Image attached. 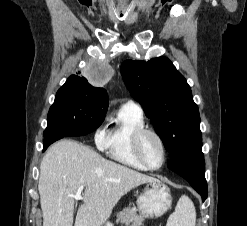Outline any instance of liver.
Returning <instances> with one entry per match:
<instances>
[{"mask_svg": "<svg viewBox=\"0 0 247 226\" xmlns=\"http://www.w3.org/2000/svg\"><path fill=\"white\" fill-rule=\"evenodd\" d=\"M156 179L107 160L71 140L53 144L40 165L38 191L43 226H72L74 195L84 186L74 226H102L120 198Z\"/></svg>", "mask_w": 247, "mask_h": 226, "instance_id": "1", "label": "liver"}]
</instances>
